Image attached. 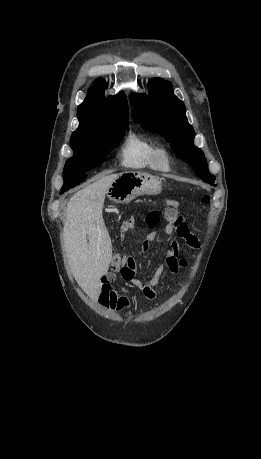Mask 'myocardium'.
Wrapping results in <instances>:
<instances>
[{"instance_id": "1", "label": "myocardium", "mask_w": 261, "mask_h": 459, "mask_svg": "<svg viewBox=\"0 0 261 459\" xmlns=\"http://www.w3.org/2000/svg\"><path fill=\"white\" fill-rule=\"evenodd\" d=\"M155 165L158 171L170 172L173 166V156L164 146H158L155 153Z\"/></svg>"}]
</instances>
